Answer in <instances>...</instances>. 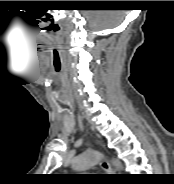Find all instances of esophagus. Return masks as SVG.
I'll list each match as a JSON object with an SVG mask.
<instances>
[{"instance_id":"34e87169","label":"esophagus","mask_w":174,"mask_h":184,"mask_svg":"<svg viewBox=\"0 0 174 184\" xmlns=\"http://www.w3.org/2000/svg\"><path fill=\"white\" fill-rule=\"evenodd\" d=\"M100 166L107 173H112L113 172V169L111 168L109 162L106 159H103L100 162Z\"/></svg>"}]
</instances>
